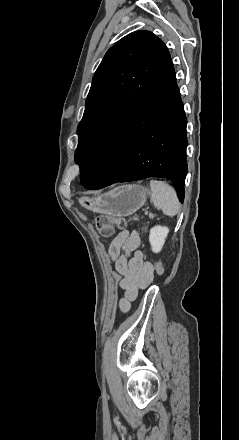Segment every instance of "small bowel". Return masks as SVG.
Returning a JSON list of instances; mask_svg holds the SVG:
<instances>
[{"label":"small bowel","mask_w":239,"mask_h":440,"mask_svg":"<svg viewBox=\"0 0 239 440\" xmlns=\"http://www.w3.org/2000/svg\"><path fill=\"white\" fill-rule=\"evenodd\" d=\"M140 237L136 230H125L111 242L108 253L114 270L121 275L120 287L124 297L120 301L122 311H127L136 299L140 289L146 288L153 280L154 265L144 261L138 249Z\"/></svg>","instance_id":"small-bowel-1"}]
</instances>
